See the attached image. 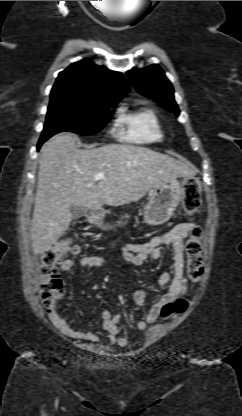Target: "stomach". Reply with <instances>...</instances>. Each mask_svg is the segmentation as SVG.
Instances as JSON below:
<instances>
[{
	"label": "stomach",
	"mask_w": 242,
	"mask_h": 416,
	"mask_svg": "<svg viewBox=\"0 0 242 416\" xmlns=\"http://www.w3.org/2000/svg\"><path fill=\"white\" fill-rule=\"evenodd\" d=\"M185 181L186 178L182 181L178 178H171L160 183L150 192L149 201L143 213L145 223L148 225H160L172 217L181 200ZM88 219L103 230L110 228L108 224L104 223L103 211H97L88 215Z\"/></svg>",
	"instance_id": "stomach-1"
}]
</instances>
